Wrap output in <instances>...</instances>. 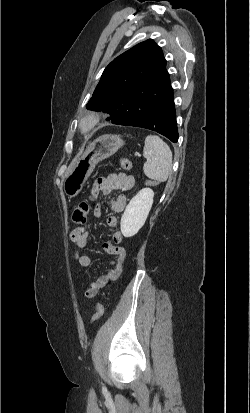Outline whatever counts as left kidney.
Here are the masks:
<instances>
[{
    "instance_id": "obj_1",
    "label": "left kidney",
    "mask_w": 250,
    "mask_h": 413,
    "mask_svg": "<svg viewBox=\"0 0 250 413\" xmlns=\"http://www.w3.org/2000/svg\"><path fill=\"white\" fill-rule=\"evenodd\" d=\"M154 192L150 188L140 190L127 205L120 222L124 237H132L143 227L153 204Z\"/></svg>"
}]
</instances>
